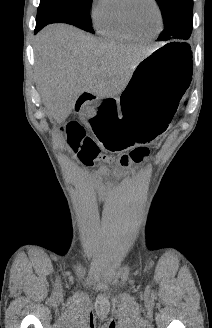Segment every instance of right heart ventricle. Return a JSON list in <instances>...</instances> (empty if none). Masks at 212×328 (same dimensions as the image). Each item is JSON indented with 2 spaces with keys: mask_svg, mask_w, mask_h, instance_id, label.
I'll list each match as a JSON object with an SVG mask.
<instances>
[{
  "mask_svg": "<svg viewBox=\"0 0 212 328\" xmlns=\"http://www.w3.org/2000/svg\"><path fill=\"white\" fill-rule=\"evenodd\" d=\"M125 0H100L94 11V24L100 34L118 41H138L142 37L126 23Z\"/></svg>",
  "mask_w": 212,
  "mask_h": 328,
  "instance_id": "1",
  "label": "right heart ventricle"
}]
</instances>
